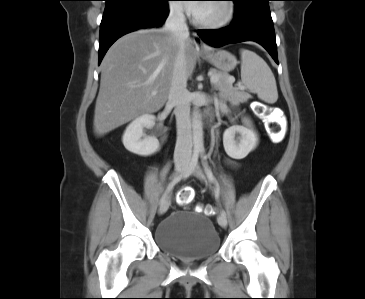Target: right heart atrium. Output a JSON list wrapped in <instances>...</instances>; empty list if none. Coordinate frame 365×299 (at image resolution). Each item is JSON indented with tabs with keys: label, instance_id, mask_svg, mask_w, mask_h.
<instances>
[{
	"label": "right heart atrium",
	"instance_id": "right-heart-atrium-1",
	"mask_svg": "<svg viewBox=\"0 0 365 299\" xmlns=\"http://www.w3.org/2000/svg\"><path fill=\"white\" fill-rule=\"evenodd\" d=\"M169 11L176 18H183L185 10L180 1L172 0L169 3Z\"/></svg>",
	"mask_w": 365,
	"mask_h": 299
}]
</instances>
